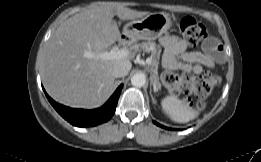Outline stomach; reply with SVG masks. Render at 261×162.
<instances>
[{"mask_svg":"<svg viewBox=\"0 0 261 162\" xmlns=\"http://www.w3.org/2000/svg\"><path fill=\"white\" fill-rule=\"evenodd\" d=\"M172 26L171 18L165 13H151L142 19L134 20L124 26V31H131L135 40H155L167 33Z\"/></svg>","mask_w":261,"mask_h":162,"instance_id":"stomach-1","label":"stomach"}]
</instances>
